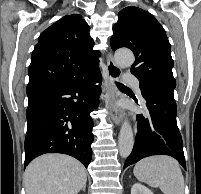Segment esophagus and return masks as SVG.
I'll return each instance as SVG.
<instances>
[{
	"instance_id": "1",
	"label": "esophagus",
	"mask_w": 201,
	"mask_h": 194,
	"mask_svg": "<svg viewBox=\"0 0 201 194\" xmlns=\"http://www.w3.org/2000/svg\"><path fill=\"white\" fill-rule=\"evenodd\" d=\"M121 69L113 61L112 55L109 53L107 56V71L105 75L106 80V106L110 111V118L115 125H119L121 122V112L116 106V102L119 98L118 90L115 86V82L119 79Z\"/></svg>"
}]
</instances>
